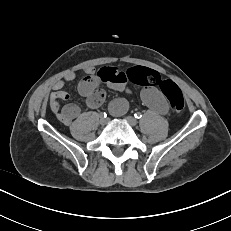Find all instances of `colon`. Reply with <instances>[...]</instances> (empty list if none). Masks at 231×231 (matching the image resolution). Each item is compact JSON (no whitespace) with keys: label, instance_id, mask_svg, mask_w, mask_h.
Returning <instances> with one entry per match:
<instances>
[{"label":"colon","instance_id":"1","mask_svg":"<svg viewBox=\"0 0 231 231\" xmlns=\"http://www.w3.org/2000/svg\"><path fill=\"white\" fill-rule=\"evenodd\" d=\"M127 79L140 86H159L174 112L178 113L184 109L185 101L181 90L173 81L162 79L156 71L135 67L127 71Z\"/></svg>","mask_w":231,"mask_h":231}]
</instances>
